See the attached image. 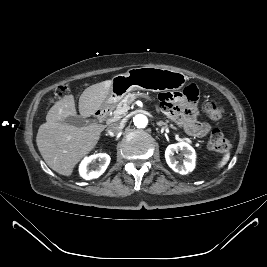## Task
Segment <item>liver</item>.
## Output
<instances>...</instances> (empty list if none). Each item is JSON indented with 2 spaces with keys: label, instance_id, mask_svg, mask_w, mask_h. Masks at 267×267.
Returning a JSON list of instances; mask_svg holds the SVG:
<instances>
[{
  "label": "liver",
  "instance_id": "liver-1",
  "mask_svg": "<svg viewBox=\"0 0 267 267\" xmlns=\"http://www.w3.org/2000/svg\"><path fill=\"white\" fill-rule=\"evenodd\" d=\"M112 80L87 87L79 97L82 117L93 115L106 100ZM68 116H77L73 95L57 101L48 111L46 122L37 133L36 142L46 164L61 175L72 174L75 165L96 146L104 126L92 123L76 127L63 123Z\"/></svg>",
  "mask_w": 267,
  "mask_h": 267
}]
</instances>
